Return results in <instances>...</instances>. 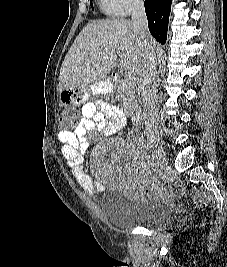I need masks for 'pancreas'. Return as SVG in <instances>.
I'll return each mask as SVG.
<instances>
[{"mask_svg": "<svg viewBox=\"0 0 227 267\" xmlns=\"http://www.w3.org/2000/svg\"><path fill=\"white\" fill-rule=\"evenodd\" d=\"M118 93L123 98V106L126 110H135L138 107L139 91L134 84L129 85L125 79L118 84Z\"/></svg>", "mask_w": 227, "mask_h": 267, "instance_id": "1", "label": "pancreas"}]
</instances>
